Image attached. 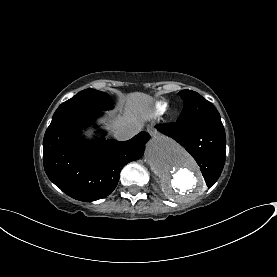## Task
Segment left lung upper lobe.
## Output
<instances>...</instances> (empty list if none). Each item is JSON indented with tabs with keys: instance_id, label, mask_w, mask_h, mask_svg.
Listing matches in <instances>:
<instances>
[{
	"instance_id": "1",
	"label": "left lung upper lobe",
	"mask_w": 277,
	"mask_h": 277,
	"mask_svg": "<svg viewBox=\"0 0 277 277\" xmlns=\"http://www.w3.org/2000/svg\"><path fill=\"white\" fill-rule=\"evenodd\" d=\"M184 110L178 122L188 123L206 119H221L216 108L201 95L192 90H182Z\"/></svg>"
}]
</instances>
